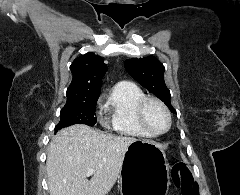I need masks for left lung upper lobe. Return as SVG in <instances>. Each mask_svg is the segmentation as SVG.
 Segmentation results:
<instances>
[{
  "label": "left lung upper lobe",
  "instance_id": "5c2ea615",
  "mask_svg": "<svg viewBox=\"0 0 240 195\" xmlns=\"http://www.w3.org/2000/svg\"><path fill=\"white\" fill-rule=\"evenodd\" d=\"M125 68L144 88L162 100L172 113H176L171 105L170 91L164 82V67L157 58L148 56L128 59L125 61Z\"/></svg>",
  "mask_w": 240,
  "mask_h": 195
}]
</instances>
